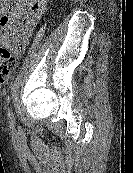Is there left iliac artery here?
<instances>
[{
    "label": "left iliac artery",
    "mask_w": 133,
    "mask_h": 173,
    "mask_svg": "<svg viewBox=\"0 0 133 173\" xmlns=\"http://www.w3.org/2000/svg\"><path fill=\"white\" fill-rule=\"evenodd\" d=\"M6 101H7V105H8L7 114H8L11 125H14L15 120H14V115L12 113V109H11V106H10V103H11V96L10 95L7 97Z\"/></svg>",
    "instance_id": "obj_1"
}]
</instances>
